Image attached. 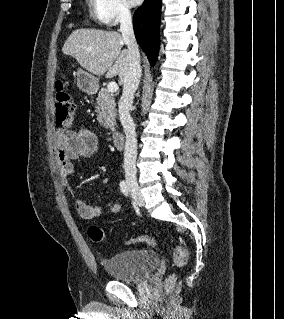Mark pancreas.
I'll list each match as a JSON object with an SVG mask.
<instances>
[{
  "mask_svg": "<svg viewBox=\"0 0 284 319\" xmlns=\"http://www.w3.org/2000/svg\"><path fill=\"white\" fill-rule=\"evenodd\" d=\"M97 120L105 128H114L116 123V105L107 89L99 91L96 99Z\"/></svg>",
  "mask_w": 284,
  "mask_h": 319,
  "instance_id": "obj_1",
  "label": "pancreas"
}]
</instances>
